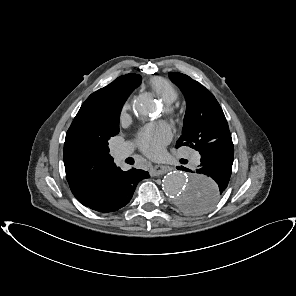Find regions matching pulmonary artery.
<instances>
[{
	"mask_svg": "<svg viewBox=\"0 0 296 296\" xmlns=\"http://www.w3.org/2000/svg\"><path fill=\"white\" fill-rule=\"evenodd\" d=\"M132 151V147L130 144L126 143L123 145H120L117 147L114 151V157L116 161L120 162L124 160ZM193 163H199L200 161V155L199 154H193L191 156Z\"/></svg>",
	"mask_w": 296,
	"mask_h": 296,
	"instance_id": "e3ab8cb5",
	"label": "pulmonary artery"
}]
</instances>
